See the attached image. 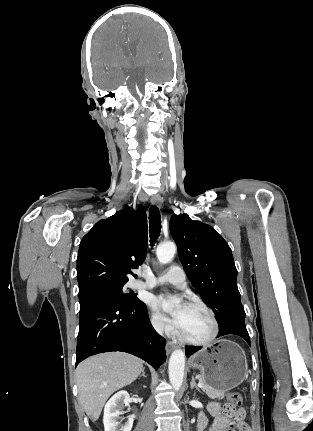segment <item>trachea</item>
Here are the masks:
<instances>
[{
    "mask_svg": "<svg viewBox=\"0 0 313 431\" xmlns=\"http://www.w3.org/2000/svg\"><path fill=\"white\" fill-rule=\"evenodd\" d=\"M150 245L154 246L161 231V215L157 206H151L149 210Z\"/></svg>",
    "mask_w": 313,
    "mask_h": 431,
    "instance_id": "obj_1",
    "label": "trachea"
}]
</instances>
